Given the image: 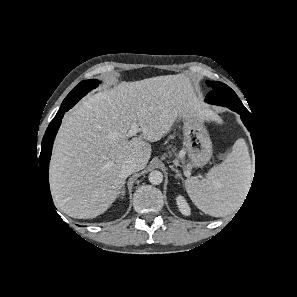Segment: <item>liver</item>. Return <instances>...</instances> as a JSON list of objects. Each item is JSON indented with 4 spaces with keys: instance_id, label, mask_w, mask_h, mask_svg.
<instances>
[{
    "instance_id": "6515ba94",
    "label": "liver",
    "mask_w": 297,
    "mask_h": 297,
    "mask_svg": "<svg viewBox=\"0 0 297 297\" xmlns=\"http://www.w3.org/2000/svg\"><path fill=\"white\" fill-rule=\"evenodd\" d=\"M186 115L203 118L204 109L179 74L123 82L85 98L65 115L55 140L49 170L55 205L78 219L104 213L125 182L122 164L133 159L144 169L149 142ZM134 123L140 134L129 139Z\"/></svg>"
}]
</instances>
